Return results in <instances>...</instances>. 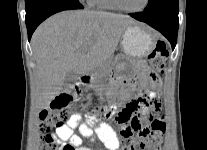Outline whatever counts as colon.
I'll list each match as a JSON object with an SVG mask.
<instances>
[{"mask_svg": "<svg viewBox=\"0 0 207 150\" xmlns=\"http://www.w3.org/2000/svg\"><path fill=\"white\" fill-rule=\"evenodd\" d=\"M169 51L163 41H159L148 55L150 73L148 81L150 86L142 87L138 99H131L127 107H137L138 111L124 108L116 115V120L124 125L121 130V150H161L163 136L165 133V122L162 116H156L157 107L161 100L156 99L161 78L159 73L164 71ZM63 99L70 96L62 95ZM52 108L44 110L40 115V128L48 132L65 124L69 113L62 105H71V100H52ZM80 110H85L80 106ZM141 110V111H139ZM115 107L110 104L106 107L97 108L96 114L111 118L115 116ZM41 150H73L68 144H63L56 138L46 135L43 139Z\"/></svg>", "mask_w": 207, "mask_h": 150, "instance_id": "5ec220e1", "label": "colon"}]
</instances>
